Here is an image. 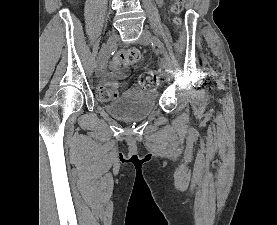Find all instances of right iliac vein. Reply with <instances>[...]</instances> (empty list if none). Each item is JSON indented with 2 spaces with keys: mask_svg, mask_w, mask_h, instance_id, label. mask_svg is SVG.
Wrapping results in <instances>:
<instances>
[{
  "mask_svg": "<svg viewBox=\"0 0 277 225\" xmlns=\"http://www.w3.org/2000/svg\"><path fill=\"white\" fill-rule=\"evenodd\" d=\"M118 40H119V37L115 33L110 35V37L108 38L105 47L100 52L99 57H98L96 67H95L96 74H98L100 69L105 65L108 53L115 47Z\"/></svg>",
  "mask_w": 277,
  "mask_h": 225,
  "instance_id": "right-iliac-vein-1",
  "label": "right iliac vein"
}]
</instances>
